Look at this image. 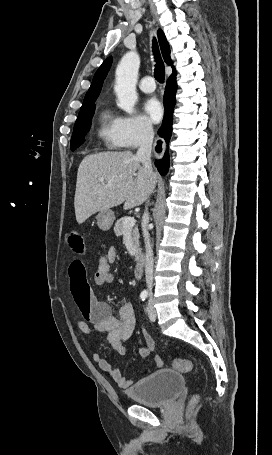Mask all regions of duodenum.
I'll list each match as a JSON object with an SVG mask.
<instances>
[{"instance_id":"1","label":"duodenum","mask_w":272,"mask_h":455,"mask_svg":"<svg viewBox=\"0 0 272 455\" xmlns=\"http://www.w3.org/2000/svg\"><path fill=\"white\" fill-rule=\"evenodd\" d=\"M143 267H144V257L142 254H138L136 256V264H135V269H134V275L136 278H140L143 273Z\"/></svg>"}]
</instances>
